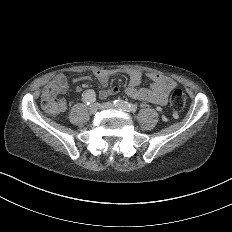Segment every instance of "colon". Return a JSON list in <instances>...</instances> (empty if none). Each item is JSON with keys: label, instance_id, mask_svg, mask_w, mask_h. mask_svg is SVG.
Listing matches in <instances>:
<instances>
[{"label": "colon", "instance_id": "1", "mask_svg": "<svg viewBox=\"0 0 232 232\" xmlns=\"http://www.w3.org/2000/svg\"><path fill=\"white\" fill-rule=\"evenodd\" d=\"M170 113H183L186 108L184 90L173 88L169 92ZM58 96H49L42 99V104L48 110V113H63V105H57Z\"/></svg>", "mask_w": 232, "mask_h": 232}]
</instances>
